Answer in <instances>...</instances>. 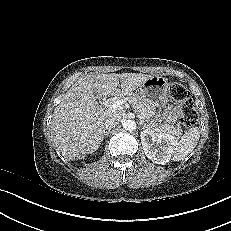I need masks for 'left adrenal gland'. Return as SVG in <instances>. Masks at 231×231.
Listing matches in <instances>:
<instances>
[{"label":"left adrenal gland","instance_id":"1","mask_svg":"<svg viewBox=\"0 0 231 231\" xmlns=\"http://www.w3.org/2000/svg\"><path fill=\"white\" fill-rule=\"evenodd\" d=\"M140 124L143 126V129L147 130L148 127L146 126V124H143V121H140Z\"/></svg>","mask_w":231,"mask_h":231}]
</instances>
